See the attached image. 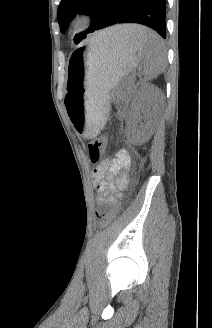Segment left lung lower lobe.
<instances>
[{
  "label": "left lung lower lobe",
  "instance_id": "0a47b994",
  "mask_svg": "<svg viewBox=\"0 0 212 328\" xmlns=\"http://www.w3.org/2000/svg\"><path fill=\"white\" fill-rule=\"evenodd\" d=\"M166 0H106L95 30L117 23H138L148 26L166 38Z\"/></svg>",
  "mask_w": 212,
  "mask_h": 328
}]
</instances>
